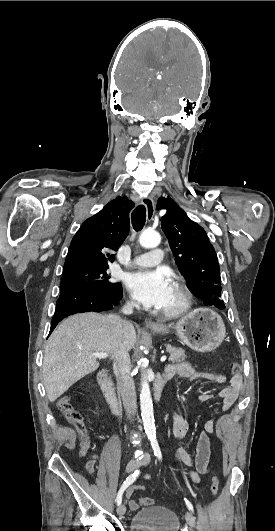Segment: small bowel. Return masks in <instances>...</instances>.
Here are the masks:
<instances>
[{
	"label": "small bowel",
	"instance_id": "1",
	"mask_svg": "<svg viewBox=\"0 0 275 531\" xmlns=\"http://www.w3.org/2000/svg\"><path fill=\"white\" fill-rule=\"evenodd\" d=\"M165 372H167L170 377L179 375L188 382L206 380L216 384H223L226 380L221 373L198 371L185 362L169 364L166 366ZM241 388V375H233L230 379L229 385L220 390L217 395L210 392H203L199 395V400L201 402H209L218 396L222 399V409L228 410L237 401ZM214 428L215 422L213 419H209L205 422L204 428L198 436L195 455L191 454L185 448H178L174 452L173 458L175 463L194 468L193 470H186V474L195 483L199 482L201 475H205L209 472L211 458L209 434L214 431ZM188 430V422L183 419L182 416L176 414L173 422L174 435L178 438H183L187 435ZM88 448L89 447H81V454H85ZM92 459L97 460V456H93ZM133 494V486H130L125 490V498L128 501V507L131 511L136 512L141 507H148L153 504L152 499L148 497L133 498Z\"/></svg>",
	"mask_w": 275,
	"mask_h": 531
}]
</instances>
